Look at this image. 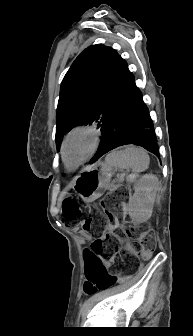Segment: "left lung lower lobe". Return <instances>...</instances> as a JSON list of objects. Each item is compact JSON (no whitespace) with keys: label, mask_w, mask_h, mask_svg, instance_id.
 I'll use <instances>...</instances> for the list:
<instances>
[{"label":"left lung lower lobe","mask_w":193,"mask_h":336,"mask_svg":"<svg viewBox=\"0 0 193 336\" xmlns=\"http://www.w3.org/2000/svg\"><path fill=\"white\" fill-rule=\"evenodd\" d=\"M101 131L102 142L91 164L109 151L127 144L141 146L159 157L149 111L128 68L115 103L101 125Z\"/></svg>","instance_id":"0a47b994"}]
</instances>
